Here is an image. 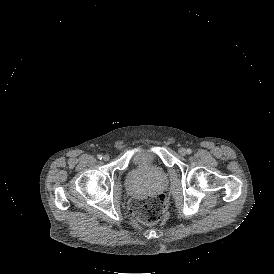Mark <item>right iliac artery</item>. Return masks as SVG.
<instances>
[{"label":"right iliac artery","instance_id":"82829eb1","mask_svg":"<svg viewBox=\"0 0 274 274\" xmlns=\"http://www.w3.org/2000/svg\"><path fill=\"white\" fill-rule=\"evenodd\" d=\"M102 157H103V156H102L101 154H99V155L97 156V158L100 159V160L102 159Z\"/></svg>","mask_w":274,"mask_h":274}]
</instances>
